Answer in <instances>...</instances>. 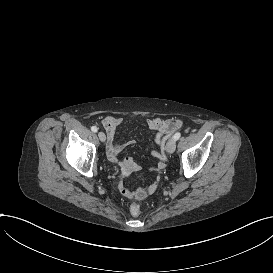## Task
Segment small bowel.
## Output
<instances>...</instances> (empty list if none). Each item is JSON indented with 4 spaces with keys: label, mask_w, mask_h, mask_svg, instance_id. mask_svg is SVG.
I'll return each mask as SVG.
<instances>
[{
    "label": "small bowel",
    "mask_w": 273,
    "mask_h": 273,
    "mask_svg": "<svg viewBox=\"0 0 273 273\" xmlns=\"http://www.w3.org/2000/svg\"><path fill=\"white\" fill-rule=\"evenodd\" d=\"M122 124V118L119 116L110 115L102 120V126L105 130L107 137V157L111 162H121L120 169L122 170V175L124 179L129 176V168L132 172H137L140 170L139 166L133 160V158L128 156H123V152L126 149V144H119L116 142V131ZM148 127L154 132V142L159 147L163 144L165 137L177 130L180 126V121L175 118L163 119L160 117L152 118L147 122ZM153 156L158 159L157 168L159 172H164L167 167V158L163 156L162 153L158 151L152 152ZM148 176L147 172H144L141 176L142 180H145ZM162 183V176L156 175L155 181L149 186L150 192H155L159 189ZM141 187L144 190L148 189L145 181L141 182ZM119 193L124 195L127 199H132L134 192L130 189H126L124 182L118 183Z\"/></svg>",
    "instance_id": "small-bowel-1"
}]
</instances>
